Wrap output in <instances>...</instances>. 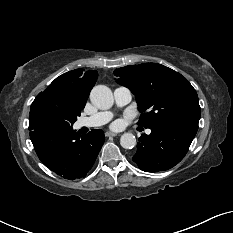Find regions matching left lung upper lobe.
I'll return each instance as SVG.
<instances>
[{"instance_id": "1", "label": "left lung upper lobe", "mask_w": 233, "mask_h": 233, "mask_svg": "<svg viewBox=\"0 0 233 233\" xmlns=\"http://www.w3.org/2000/svg\"><path fill=\"white\" fill-rule=\"evenodd\" d=\"M117 83L136 97L141 114L138 125L152 128L182 124L198 128L201 109L195 89L178 72L157 63L116 69Z\"/></svg>"}]
</instances>
